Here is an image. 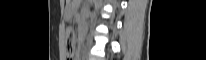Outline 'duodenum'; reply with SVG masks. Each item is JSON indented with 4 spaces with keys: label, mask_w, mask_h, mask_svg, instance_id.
Wrapping results in <instances>:
<instances>
[{
    "label": "duodenum",
    "mask_w": 206,
    "mask_h": 60,
    "mask_svg": "<svg viewBox=\"0 0 206 60\" xmlns=\"http://www.w3.org/2000/svg\"><path fill=\"white\" fill-rule=\"evenodd\" d=\"M78 33L80 34V36H83V34L86 33V30L83 29V28H80V29L78 30Z\"/></svg>",
    "instance_id": "obj_1"
}]
</instances>
